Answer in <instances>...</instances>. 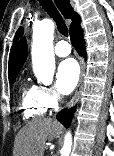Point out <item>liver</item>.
Wrapping results in <instances>:
<instances>
[{
	"instance_id": "1",
	"label": "liver",
	"mask_w": 114,
	"mask_h": 156,
	"mask_svg": "<svg viewBox=\"0 0 114 156\" xmlns=\"http://www.w3.org/2000/svg\"><path fill=\"white\" fill-rule=\"evenodd\" d=\"M62 125L51 119H33L17 134L13 156H43L45 143L57 137Z\"/></svg>"
}]
</instances>
